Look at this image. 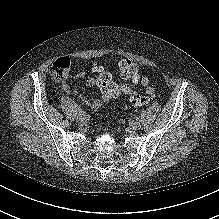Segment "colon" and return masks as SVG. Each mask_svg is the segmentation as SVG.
Returning <instances> with one entry per match:
<instances>
[{"label": "colon", "instance_id": "1", "mask_svg": "<svg viewBox=\"0 0 219 219\" xmlns=\"http://www.w3.org/2000/svg\"><path fill=\"white\" fill-rule=\"evenodd\" d=\"M70 70L71 62L69 58L61 57L52 64L50 73L56 81H63L68 77ZM119 70L124 79L133 82L139 76V67L129 60L121 61L119 64ZM93 72L95 74L96 84L99 86L104 100H111L125 94L129 97L130 108L136 109L147 104L155 97L153 90L146 91V94H137L133 90L131 83L114 82L111 74L101 68L94 69Z\"/></svg>", "mask_w": 219, "mask_h": 219}]
</instances>
